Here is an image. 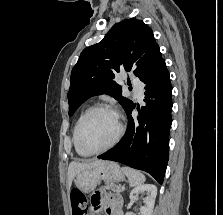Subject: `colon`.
I'll list each match as a JSON object with an SVG mask.
<instances>
[{
  "label": "colon",
  "mask_w": 223,
  "mask_h": 215,
  "mask_svg": "<svg viewBox=\"0 0 223 215\" xmlns=\"http://www.w3.org/2000/svg\"><path fill=\"white\" fill-rule=\"evenodd\" d=\"M71 205L73 215H87V202L84 194L73 189L71 192Z\"/></svg>",
  "instance_id": "colon-1"
}]
</instances>
